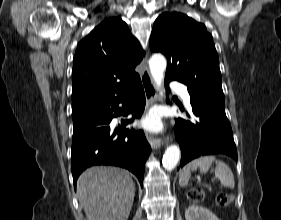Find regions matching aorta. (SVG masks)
<instances>
[{
    "label": "aorta",
    "mask_w": 281,
    "mask_h": 220,
    "mask_svg": "<svg viewBox=\"0 0 281 220\" xmlns=\"http://www.w3.org/2000/svg\"><path fill=\"white\" fill-rule=\"evenodd\" d=\"M167 61L161 54H154L149 59V69L152 78L157 87H161L163 83L164 73L166 70ZM180 160V149L176 145L167 147L163 155V167L166 170L174 169Z\"/></svg>",
    "instance_id": "1"
}]
</instances>
